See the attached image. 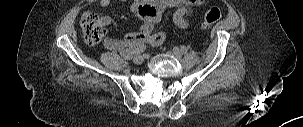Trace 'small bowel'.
Segmentation results:
<instances>
[{
    "mask_svg": "<svg viewBox=\"0 0 303 127\" xmlns=\"http://www.w3.org/2000/svg\"><path fill=\"white\" fill-rule=\"evenodd\" d=\"M127 2L128 0H119ZM112 0H97V5L105 8ZM202 0H133L131 11L143 20L139 31L128 34L124 39L107 38L104 46L110 50L122 51L126 47H137L139 45L158 46L165 40V33L156 31L155 27L167 9H175L173 21L179 28H186L189 24L188 16L191 7L202 4ZM147 16V17H146ZM104 25L111 24L108 15L101 16Z\"/></svg>",
    "mask_w": 303,
    "mask_h": 127,
    "instance_id": "obj_1",
    "label": "small bowel"
}]
</instances>
